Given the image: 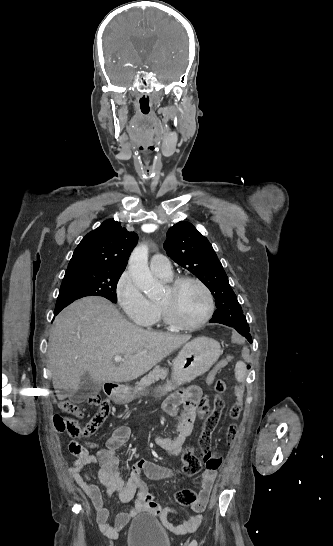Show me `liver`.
I'll return each instance as SVG.
<instances>
[{"label":"liver","mask_w":333,"mask_h":546,"mask_svg":"<svg viewBox=\"0 0 333 546\" xmlns=\"http://www.w3.org/2000/svg\"><path fill=\"white\" fill-rule=\"evenodd\" d=\"M190 338L145 331L127 321L104 298L80 299L54 321L48 351L53 386L75 391L86 372L98 384L134 380ZM116 355L124 361L114 363Z\"/></svg>","instance_id":"liver-1"}]
</instances>
